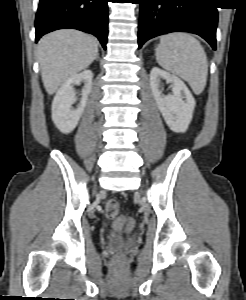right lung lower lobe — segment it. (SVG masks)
<instances>
[{
    "instance_id": "1",
    "label": "right lung lower lobe",
    "mask_w": 246,
    "mask_h": 300,
    "mask_svg": "<svg viewBox=\"0 0 246 300\" xmlns=\"http://www.w3.org/2000/svg\"><path fill=\"white\" fill-rule=\"evenodd\" d=\"M108 0H40L35 19L36 39L63 28L95 35L106 49Z\"/></svg>"
}]
</instances>
